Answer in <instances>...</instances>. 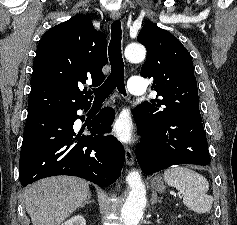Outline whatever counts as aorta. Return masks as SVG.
I'll list each match as a JSON object with an SVG mask.
<instances>
[{
    "mask_svg": "<svg viewBox=\"0 0 237 225\" xmlns=\"http://www.w3.org/2000/svg\"><path fill=\"white\" fill-rule=\"evenodd\" d=\"M146 50L140 44H130L125 48V57L131 63H139L145 59ZM130 192L121 210V218L125 225H137L146 205V189L138 171H131L126 177Z\"/></svg>",
    "mask_w": 237,
    "mask_h": 225,
    "instance_id": "obj_1",
    "label": "aorta"
}]
</instances>
